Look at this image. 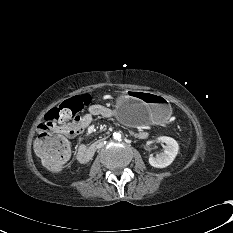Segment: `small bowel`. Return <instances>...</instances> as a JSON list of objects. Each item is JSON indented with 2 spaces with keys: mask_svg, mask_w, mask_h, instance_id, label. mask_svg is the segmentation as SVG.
Instances as JSON below:
<instances>
[{
  "mask_svg": "<svg viewBox=\"0 0 233 233\" xmlns=\"http://www.w3.org/2000/svg\"><path fill=\"white\" fill-rule=\"evenodd\" d=\"M113 111L102 105L94 104L81 115L76 116L71 121L58 120L52 127L51 131L54 133L62 134L69 138H74L80 135L93 121L95 117L112 118ZM139 138H146L147 132L145 130H139L137 132Z\"/></svg>",
  "mask_w": 233,
  "mask_h": 233,
  "instance_id": "c3829d8e",
  "label": "small bowel"
}]
</instances>
